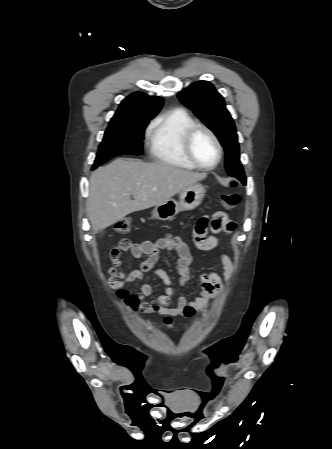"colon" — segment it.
Instances as JSON below:
<instances>
[{"label":"colon","instance_id":"colon-1","mask_svg":"<svg viewBox=\"0 0 332 449\" xmlns=\"http://www.w3.org/2000/svg\"><path fill=\"white\" fill-rule=\"evenodd\" d=\"M231 185L233 187L236 186V182H232ZM221 204L226 209H233L235 208L239 202H240V196L235 192L230 193H224L220 196ZM132 223L129 219H122L117 222L115 226V230L118 233H128L131 230ZM129 249V240H122L118 246L112 249L110 252V259L115 265H120V259L122 256V253ZM118 296L125 300L128 305L131 307H136V298L133 295H129L126 290L120 289L118 291ZM164 324L167 327H172L173 322L170 317H164L163 319Z\"/></svg>","mask_w":332,"mask_h":449}]
</instances>
